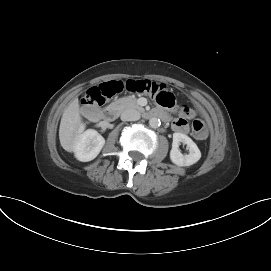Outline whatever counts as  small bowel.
Listing matches in <instances>:
<instances>
[{"mask_svg": "<svg viewBox=\"0 0 271 271\" xmlns=\"http://www.w3.org/2000/svg\"><path fill=\"white\" fill-rule=\"evenodd\" d=\"M172 127L176 132L181 134H187L189 131L188 123L184 118L175 119L172 123Z\"/></svg>", "mask_w": 271, "mask_h": 271, "instance_id": "obj_1", "label": "small bowel"}]
</instances>
